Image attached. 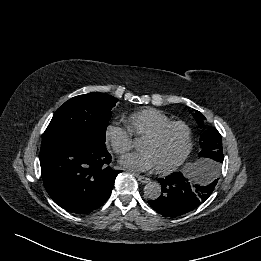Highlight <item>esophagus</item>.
I'll list each match as a JSON object with an SVG mask.
<instances>
[{"label": "esophagus", "mask_w": 261, "mask_h": 261, "mask_svg": "<svg viewBox=\"0 0 261 261\" xmlns=\"http://www.w3.org/2000/svg\"><path fill=\"white\" fill-rule=\"evenodd\" d=\"M135 176L141 183H148V182H150V179L147 178V177H144V176L138 175V174H136Z\"/></svg>", "instance_id": "esophagus-1"}]
</instances>
